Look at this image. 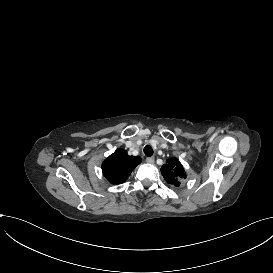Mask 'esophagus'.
I'll return each mask as SVG.
<instances>
[{"mask_svg":"<svg viewBox=\"0 0 273 273\" xmlns=\"http://www.w3.org/2000/svg\"><path fill=\"white\" fill-rule=\"evenodd\" d=\"M146 162L150 163V164H153L154 163V157H148V158H146Z\"/></svg>","mask_w":273,"mask_h":273,"instance_id":"34e87169","label":"esophagus"}]
</instances>
